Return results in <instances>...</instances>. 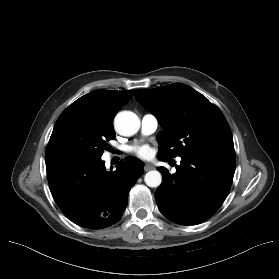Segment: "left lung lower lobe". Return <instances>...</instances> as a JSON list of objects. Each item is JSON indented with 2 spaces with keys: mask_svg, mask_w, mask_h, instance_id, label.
I'll return each mask as SVG.
<instances>
[{
  "mask_svg": "<svg viewBox=\"0 0 279 279\" xmlns=\"http://www.w3.org/2000/svg\"><path fill=\"white\" fill-rule=\"evenodd\" d=\"M181 158L173 175L165 167L157 168L163 181L156 190L155 199L159 210L169 220L181 225H196L210 218L226 199L236 168V156L202 152Z\"/></svg>",
  "mask_w": 279,
  "mask_h": 279,
  "instance_id": "0a47b994",
  "label": "left lung lower lobe"
}]
</instances>
